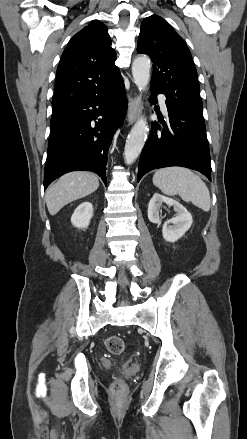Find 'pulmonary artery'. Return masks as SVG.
<instances>
[{
    "mask_svg": "<svg viewBox=\"0 0 247 439\" xmlns=\"http://www.w3.org/2000/svg\"><path fill=\"white\" fill-rule=\"evenodd\" d=\"M160 105H161L162 111L165 114H167V106H166V102H165V97L163 95H160Z\"/></svg>",
    "mask_w": 247,
    "mask_h": 439,
    "instance_id": "pulmonary-artery-1",
    "label": "pulmonary artery"
}]
</instances>
